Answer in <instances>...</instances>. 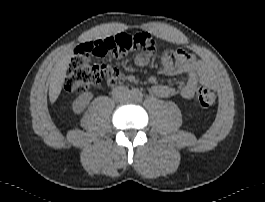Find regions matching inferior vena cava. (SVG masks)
Masks as SVG:
<instances>
[{"instance_id":"602c4592","label":"inferior vena cava","mask_w":265,"mask_h":202,"mask_svg":"<svg viewBox=\"0 0 265 202\" xmlns=\"http://www.w3.org/2000/svg\"><path fill=\"white\" fill-rule=\"evenodd\" d=\"M112 97L117 102H125L131 97V92L125 86H118L113 89Z\"/></svg>"}]
</instances>
